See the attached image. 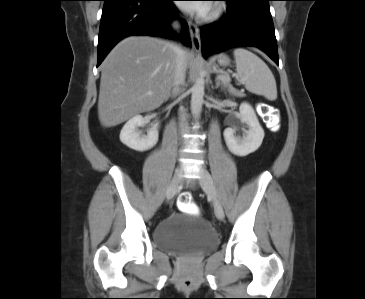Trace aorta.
I'll use <instances>...</instances> for the list:
<instances>
[{
    "label": "aorta",
    "instance_id": "aorta-1",
    "mask_svg": "<svg viewBox=\"0 0 365 299\" xmlns=\"http://www.w3.org/2000/svg\"><path fill=\"white\" fill-rule=\"evenodd\" d=\"M205 71H200L193 87L191 96V110L195 118H198L201 113L203 96H204V86H205Z\"/></svg>",
    "mask_w": 365,
    "mask_h": 299
}]
</instances>
